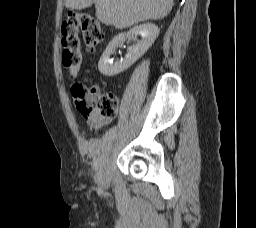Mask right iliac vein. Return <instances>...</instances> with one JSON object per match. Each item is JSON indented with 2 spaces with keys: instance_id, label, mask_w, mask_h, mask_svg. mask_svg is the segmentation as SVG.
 <instances>
[{
  "instance_id": "right-iliac-vein-1",
  "label": "right iliac vein",
  "mask_w": 256,
  "mask_h": 228,
  "mask_svg": "<svg viewBox=\"0 0 256 228\" xmlns=\"http://www.w3.org/2000/svg\"><path fill=\"white\" fill-rule=\"evenodd\" d=\"M121 133L120 129H117L115 134H113L110 139L108 140V143L106 144V150L104 151V156L100 157V160L102 161V166L106 167L107 166V155L109 154V152L111 151V144H114L115 141L119 138V135ZM110 179V174L107 173L106 175V180Z\"/></svg>"
}]
</instances>
